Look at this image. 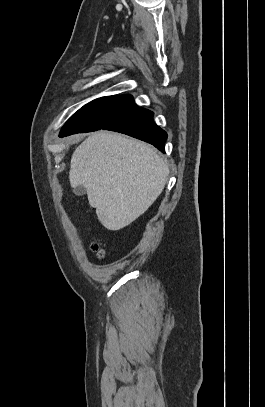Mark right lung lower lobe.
Returning a JSON list of instances; mask_svg holds the SVG:
<instances>
[{"label":"right lung lower lobe","instance_id":"obj_1","mask_svg":"<svg viewBox=\"0 0 265 407\" xmlns=\"http://www.w3.org/2000/svg\"><path fill=\"white\" fill-rule=\"evenodd\" d=\"M153 112L137 108L126 116L106 126L105 130L116 131L148 142L165 152L164 144L167 133L153 121ZM68 135H61L64 137Z\"/></svg>","mask_w":265,"mask_h":407}]
</instances>
